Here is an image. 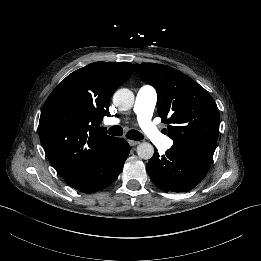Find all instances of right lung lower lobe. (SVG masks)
Listing matches in <instances>:
<instances>
[{
    "instance_id": "98d812e1",
    "label": "right lung lower lobe",
    "mask_w": 261,
    "mask_h": 261,
    "mask_svg": "<svg viewBox=\"0 0 261 261\" xmlns=\"http://www.w3.org/2000/svg\"><path fill=\"white\" fill-rule=\"evenodd\" d=\"M130 151L128 142L115 138L107 152L98 161L66 178L71 187L84 192L94 193L108 187L121 172Z\"/></svg>"
}]
</instances>
